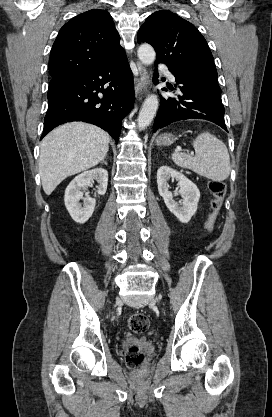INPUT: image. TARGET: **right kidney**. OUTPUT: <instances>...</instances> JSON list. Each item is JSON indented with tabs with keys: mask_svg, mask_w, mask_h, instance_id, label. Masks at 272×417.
I'll return each mask as SVG.
<instances>
[{
	"mask_svg": "<svg viewBox=\"0 0 272 417\" xmlns=\"http://www.w3.org/2000/svg\"><path fill=\"white\" fill-rule=\"evenodd\" d=\"M97 181L98 195H104L107 190L108 172L103 168H95L85 171L76 176L65 190L64 202L72 219L79 224H84L92 216L96 205L94 198L83 197L82 189L90 186L93 181ZM83 200V206L79 203Z\"/></svg>",
	"mask_w": 272,
	"mask_h": 417,
	"instance_id": "ca27d5eb",
	"label": "right kidney"
}]
</instances>
